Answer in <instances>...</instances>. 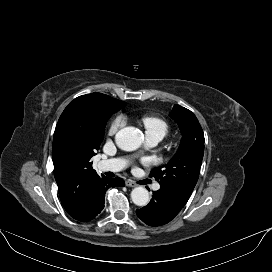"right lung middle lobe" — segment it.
Masks as SVG:
<instances>
[{"instance_id":"dd1d6c3e","label":"right lung middle lobe","mask_w":272,"mask_h":272,"mask_svg":"<svg viewBox=\"0 0 272 272\" xmlns=\"http://www.w3.org/2000/svg\"><path fill=\"white\" fill-rule=\"evenodd\" d=\"M123 107L124 105L119 104L103 105L91 122L82 130L79 136V143L88 159L93 157L100 147L108 119Z\"/></svg>"}]
</instances>
